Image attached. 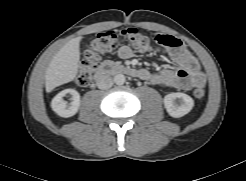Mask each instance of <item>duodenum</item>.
I'll return each instance as SVG.
<instances>
[{
    "label": "duodenum",
    "mask_w": 246,
    "mask_h": 181,
    "mask_svg": "<svg viewBox=\"0 0 246 181\" xmlns=\"http://www.w3.org/2000/svg\"><path fill=\"white\" fill-rule=\"evenodd\" d=\"M109 74H125L131 77H140V70L134 69L129 66H123L120 64H115L111 62H106L100 66V68L96 71L94 80L101 81Z\"/></svg>",
    "instance_id": "1"
}]
</instances>
